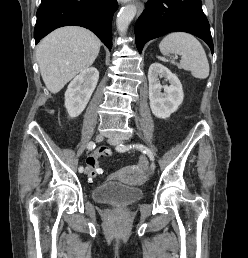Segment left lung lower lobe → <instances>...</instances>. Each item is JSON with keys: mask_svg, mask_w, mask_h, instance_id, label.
Returning <instances> with one entry per match:
<instances>
[{"mask_svg": "<svg viewBox=\"0 0 248 258\" xmlns=\"http://www.w3.org/2000/svg\"><path fill=\"white\" fill-rule=\"evenodd\" d=\"M183 31L204 40L213 53V41L201 0H149L135 25L139 53L146 42L169 32Z\"/></svg>", "mask_w": 248, "mask_h": 258, "instance_id": "obj_1", "label": "left lung lower lobe"}]
</instances>
